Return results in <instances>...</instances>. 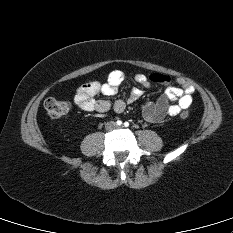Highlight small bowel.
<instances>
[{"mask_svg":"<svg viewBox=\"0 0 233 233\" xmlns=\"http://www.w3.org/2000/svg\"><path fill=\"white\" fill-rule=\"evenodd\" d=\"M124 73L120 70H113L108 75L105 83L91 81L81 85L75 95V104L83 111L105 113L113 108L117 113L122 112L127 103H133L142 96V90L133 88L126 101L116 100L111 104L108 100H96L95 96L103 94L113 96L117 93L118 87L124 80ZM135 81L144 86L150 87L153 82L167 85L164 93L159 97L157 102H146L141 106L142 116L149 122L159 123L168 116H176L186 110L192 103L194 86L185 78L176 79L178 86L170 85V78L161 74H137ZM175 102V104H171Z\"/></svg>","mask_w":233,"mask_h":233,"instance_id":"c3829d8e","label":"small bowel"}]
</instances>
